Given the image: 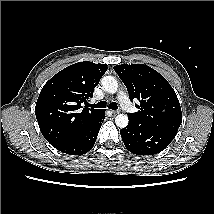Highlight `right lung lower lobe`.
I'll return each mask as SVG.
<instances>
[{"mask_svg": "<svg viewBox=\"0 0 214 214\" xmlns=\"http://www.w3.org/2000/svg\"><path fill=\"white\" fill-rule=\"evenodd\" d=\"M104 118L105 112L102 111L96 119L88 124V126H86L68 144L58 148L57 150L69 155H82L90 151L95 144L101 123Z\"/></svg>", "mask_w": 214, "mask_h": 214, "instance_id": "right-lung-lower-lobe-1", "label": "right lung lower lobe"}]
</instances>
